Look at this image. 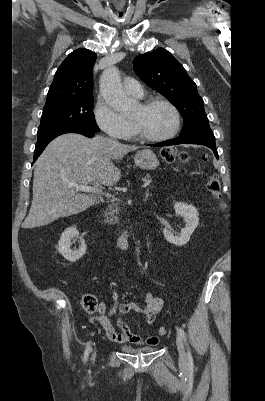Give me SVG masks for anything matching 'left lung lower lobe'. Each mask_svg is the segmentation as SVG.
<instances>
[{"instance_id":"left-lung-lower-lobe-1","label":"left lung lower lobe","mask_w":265,"mask_h":401,"mask_svg":"<svg viewBox=\"0 0 265 401\" xmlns=\"http://www.w3.org/2000/svg\"><path fill=\"white\" fill-rule=\"evenodd\" d=\"M177 144H198L211 148L218 158L217 148L215 145V137L210 127L203 128L185 135H180L176 139L167 140L165 142L154 144L153 146H169ZM152 146V145H151Z\"/></svg>"}]
</instances>
